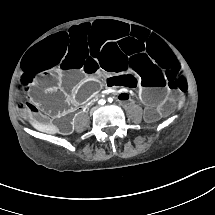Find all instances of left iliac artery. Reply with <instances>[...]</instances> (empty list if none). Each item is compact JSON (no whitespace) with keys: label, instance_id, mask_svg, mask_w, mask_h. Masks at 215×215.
Instances as JSON below:
<instances>
[{"label":"left iliac artery","instance_id":"1","mask_svg":"<svg viewBox=\"0 0 215 215\" xmlns=\"http://www.w3.org/2000/svg\"><path fill=\"white\" fill-rule=\"evenodd\" d=\"M108 101L111 103V102L113 101V99H112V98H109Z\"/></svg>","mask_w":215,"mask_h":215}]
</instances>
